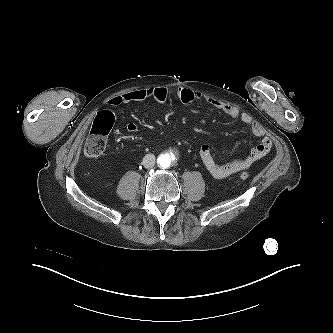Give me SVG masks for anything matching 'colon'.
I'll use <instances>...</instances> for the list:
<instances>
[{
	"label": "colon",
	"instance_id": "5ec220e1",
	"mask_svg": "<svg viewBox=\"0 0 333 333\" xmlns=\"http://www.w3.org/2000/svg\"><path fill=\"white\" fill-rule=\"evenodd\" d=\"M114 124V115L110 111H102L96 116L88 137L86 139L84 153L90 159H96L103 155L107 137ZM242 180L249 178L247 172L240 174Z\"/></svg>",
	"mask_w": 333,
	"mask_h": 333
}]
</instances>
